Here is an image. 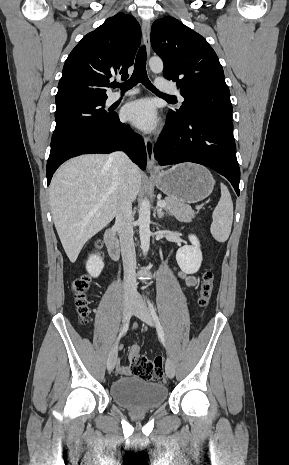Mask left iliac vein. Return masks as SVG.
<instances>
[{
    "instance_id": "obj_1",
    "label": "left iliac vein",
    "mask_w": 289,
    "mask_h": 465,
    "mask_svg": "<svg viewBox=\"0 0 289 465\" xmlns=\"http://www.w3.org/2000/svg\"><path fill=\"white\" fill-rule=\"evenodd\" d=\"M134 315L137 316L139 319L144 321L146 324L149 326L154 325V318L152 316L151 311L148 309V307L145 305L143 300L138 297L135 301V306H134ZM165 371L166 374L169 378H173L175 375V366L173 361L171 360L170 357H167L166 363H165Z\"/></svg>"
}]
</instances>
